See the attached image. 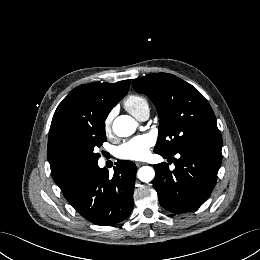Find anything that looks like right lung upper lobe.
<instances>
[{
	"instance_id": "cb5924a9",
	"label": "right lung upper lobe",
	"mask_w": 260,
	"mask_h": 260,
	"mask_svg": "<svg viewBox=\"0 0 260 260\" xmlns=\"http://www.w3.org/2000/svg\"><path fill=\"white\" fill-rule=\"evenodd\" d=\"M129 86L130 80L84 84L73 89L57 107L49 130L47 157L53 179L62 191L82 172L76 157L81 136L105 123Z\"/></svg>"
}]
</instances>
